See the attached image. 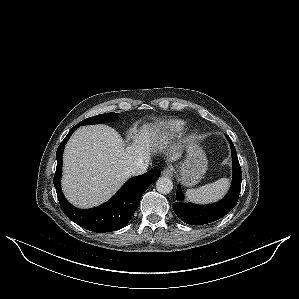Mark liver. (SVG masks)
<instances>
[{
	"label": "liver",
	"mask_w": 299,
	"mask_h": 299,
	"mask_svg": "<svg viewBox=\"0 0 299 299\" xmlns=\"http://www.w3.org/2000/svg\"><path fill=\"white\" fill-rule=\"evenodd\" d=\"M156 140V132L148 125L134 133V142L128 147L109 126L80 127L63 156L62 189L66 198L80 208L107 201L130 177V168L149 162ZM179 157V152L172 151L169 160Z\"/></svg>",
	"instance_id": "obj_1"
}]
</instances>
